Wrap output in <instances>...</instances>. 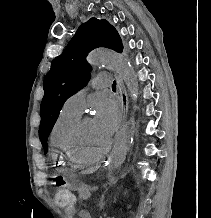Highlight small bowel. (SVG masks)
<instances>
[{"mask_svg":"<svg viewBox=\"0 0 211 218\" xmlns=\"http://www.w3.org/2000/svg\"><path fill=\"white\" fill-rule=\"evenodd\" d=\"M73 211H74V208H73V207L67 208V213H72Z\"/></svg>","mask_w":211,"mask_h":218,"instance_id":"1","label":"small bowel"}]
</instances>
